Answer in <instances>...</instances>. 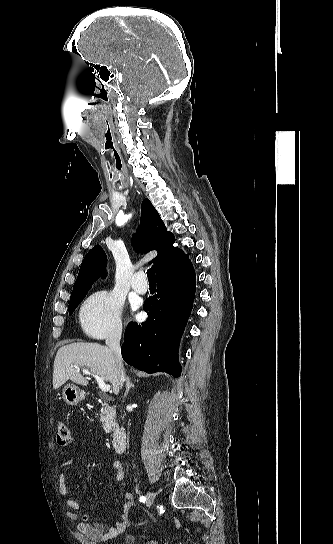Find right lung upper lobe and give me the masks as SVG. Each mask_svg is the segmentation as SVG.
Returning <instances> with one entry per match:
<instances>
[{"instance_id": "right-lung-upper-lobe-1", "label": "right lung upper lobe", "mask_w": 333, "mask_h": 544, "mask_svg": "<svg viewBox=\"0 0 333 544\" xmlns=\"http://www.w3.org/2000/svg\"><path fill=\"white\" fill-rule=\"evenodd\" d=\"M141 225L142 231L139 230L138 235L134 236L135 249L144 253L158 251L154 259L156 276L190 261L181 249L173 246L174 235L167 231L149 199H144L141 205ZM105 268L106 255L103 249L96 245L81 264L71 296L88 291L100 276L105 278Z\"/></svg>"}]
</instances>
